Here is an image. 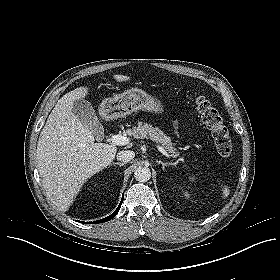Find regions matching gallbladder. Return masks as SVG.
Returning <instances> with one entry per match:
<instances>
[{
    "label": "gallbladder",
    "mask_w": 280,
    "mask_h": 280,
    "mask_svg": "<svg viewBox=\"0 0 280 280\" xmlns=\"http://www.w3.org/2000/svg\"><path fill=\"white\" fill-rule=\"evenodd\" d=\"M73 114L86 127H88L97 140H101L104 136V129L92 104L85 99H77L73 103Z\"/></svg>",
    "instance_id": "obj_1"
}]
</instances>
